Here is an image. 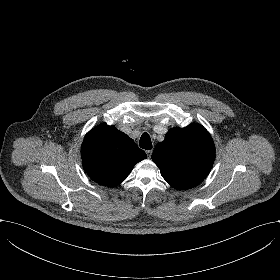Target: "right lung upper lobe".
Returning a JSON list of instances; mask_svg holds the SVG:
<instances>
[{
    "mask_svg": "<svg viewBox=\"0 0 280 280\" xmlns=\"http://www.w3.org/2000/svg\"><path fill=\"white\" fill-rule=\"evenodd\" d=\"M81 155L89 177L111 187L119 185L134 165L147 157L125 133L105 123L85 136Z\"/></svg>",
    "mask_w": 280,
    "mask_h": 280,
    "instance_id": "obj_1",
    "label": "right lung upper lobe"
}]
</instances>
